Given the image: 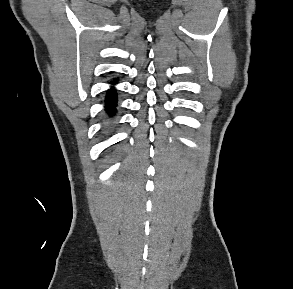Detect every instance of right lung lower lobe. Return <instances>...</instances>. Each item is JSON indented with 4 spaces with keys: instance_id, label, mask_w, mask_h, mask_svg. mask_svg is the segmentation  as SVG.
Returning <instances> with one entry per match:
<instances>
[{
    "instance_id": "98d812e1",
    "label": "right lung lower lobe",
    "mask_w": 293,
    "mask_h": 289,
    "mask_svg": "<svg viewBox=\"0 0 293 289\" xmlns=\"http://www.w3.org/2000/svg\"><path fill=\"white\" fill-rule=\"evenodd\" d=\"M116 83V80L113 82V84ZM105 103H106V111L109 115L113 116L115 114V106L117 103V94H116V90L111 88L106 96L105 99Z\"/></svg>"
}]
</instances>
